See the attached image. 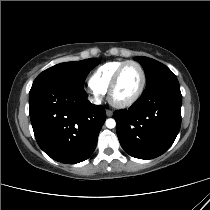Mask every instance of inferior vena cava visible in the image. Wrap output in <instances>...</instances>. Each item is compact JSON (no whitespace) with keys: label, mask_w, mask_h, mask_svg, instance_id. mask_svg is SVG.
Returning a JSON list of instances; mask_svg holds the SVG:
<instances>
[{"label":"inferior vena cava","mask_w":210,"mask_h":210,"mask_svg":"<svg viewBox=\"0 0 210 210\" xmlns=\"http://www.w3.org/2000/svg\"><path fill=\"white\" fill-rule=\"evenodd\" d=\"M90 102L94 103V104H98L100 103V101L96 100V99H90Z\"/></svg>","instance_id":"inferior-vena-cava-1"}]
</instances>
